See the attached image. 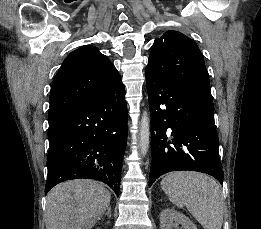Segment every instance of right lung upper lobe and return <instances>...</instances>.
<instances>
[{
  "label": "right lung upper lobe",
  "instance_id": "cb5924a9",
  "mask_svg": "<svg viewBox=\"0 0 261 229\" xmlns=\"http://www.w3.org/2000/svg\"><path fill=\"white\" fill-rule=\"evenodd\" d=\"M121 77L93 46L70 53L57 72L50 92L49 126L102 94Z\"/></svg>",
  "mask_w": 261,
  "mask_h": 229
}]
</instances>
